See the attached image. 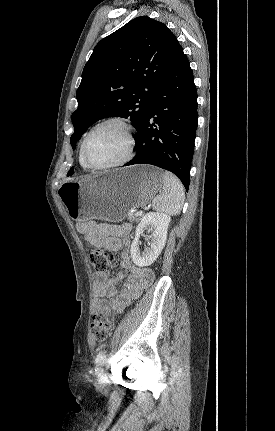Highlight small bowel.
I'll list each match as a JSON object with an SVG mask.
<instances>
[{
  "instance_id": "1",
  "label": "small bowel",
  "mask_w": 275,
  "mask_h": 431,
  "mask_svg": "<svg viewBox=\"0 0 275 431\" xmlns=\"http://www.w3.org/2000/svg\"><path fill=\"white\" fill-rule=\"evenodd\" d=\"M76 228L94 247L122 253L119 263L121 270L118 274L108 277L105 272H96L91 306L93 313L121 311L153 280V273L150 270L135 266L130 259L131 225L81 221L77 223ZM122 281H125V288L118 289Z\"/></svg>"
}]
</instances>
